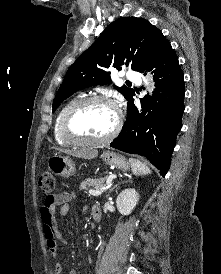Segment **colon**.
Wrapping results in <instances>:
<instances>
[{
    "label": "colon",
    "instance_id": "5ec220e1",
    "mask_svg": "<svg viewBox=\"0 0 221 274\" xmlns=\"http://www.w3.org/2000/svg\"><path fill=\"white\" fill-rule=\"evenodd\" d=\"M39 186L44 193H51L55 188V176L51 172H44L40 176Z\"/></svg>",
    "mask_w": 221,
    "mask_h": 274
}]
</instances>
